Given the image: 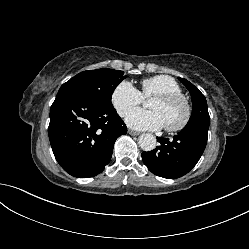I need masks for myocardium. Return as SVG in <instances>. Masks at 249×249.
I'll list each match as a JSON object with an SVG mask.
<instances>
[{
    "label": "myocardium",
    "mask_w": 249,
    "mask_h": 249,
    "mask_svg": "<svg viewBox=\"0 0 249 249\" xmlns=\"http://www.w3.org/2000/svg\"><path fill=\"white\" fill-rule=\"evenodd\" d=\"M163 103H180L184 107V117L176 125H165V130L168 132H179L183 130L190 122L192 117V106L190 101L182 94H160L154 97Z\"/></svg>",
    "instance_id": "obj_1"
}]
</instances>
